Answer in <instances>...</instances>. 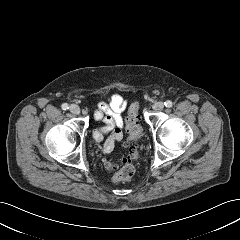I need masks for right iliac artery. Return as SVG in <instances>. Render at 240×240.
<instances>
[{"label": "right iliac artery", "instance_id": "82829eb1", "mask_svg": "<svg viewBox=\"0 0 240 240\" xmlns=\"http://www.w3.org/2000/svg\"><path fill=\"white\" fill-rule=\"evenodd\" d=\"M61 107H62L63 110H68L69 109V105L67 103L62 104Z\"/></svg>", "mask_w": 240, "mask_h": 240}]
</instances>
